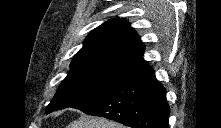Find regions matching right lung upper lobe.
Segmentation results:
<instances>
[{
	"mask_svg": "<svg viewBox=\"0 0 221 128\" xmlns=\"http://www.w3.org/2000/svg\"><path fill=\"white\" fill-rule=\"evenodd\" d=\"M84 42L70 65L71 70L97 69L127 77L148 65L143 59L144 44L123 18L103 23Z\"/></svg>",
	"mask_w": 221,
	"mask_h": 128,
	"instance_id": "1",
	"label": "right lung upper lobe"
}]
</instances>
